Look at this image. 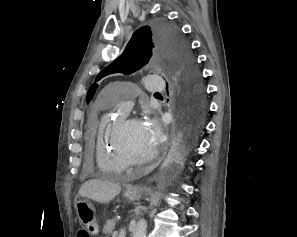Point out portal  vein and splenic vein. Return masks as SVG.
I'll return each mask as SVG.
<instances>
[{"label":"portal vein and splenic vein","mask_w":297,"mask_h":237,"mask_svg":"<svg viewBox=\"0 0 297 237\" xmlns=\"http://www.w3.org/2000/svg\"><path fill=\"white\" fill-rule=\"evenodd\" d=\"M117 234H118V232L117 231H115V232H113V237H116L117 236Z\"/></svg>","instance_id":"obj_1"}]
</instances>
